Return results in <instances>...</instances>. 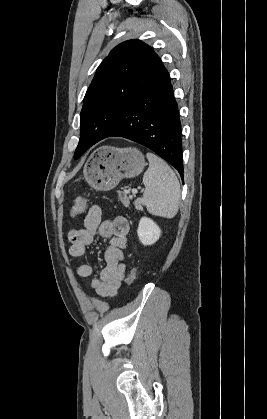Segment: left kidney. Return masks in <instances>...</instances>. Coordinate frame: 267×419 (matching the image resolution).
<instances>
[{"mask_svg": "<svg viewBox=\"0 0 267 419\" xmlns=\"http://www.w3.org/2000/svg\"><path fill=\"white\" fill-rule=\"evenodd\" d=\"M137 234L143 245H152L160 238L161 230L152 219L142 217L139 221Z\"/></svg>", "mask_w": 267, "mask_h": 419, "instance_id": "obj_1", "label": "left kidney"}]
</instances>
